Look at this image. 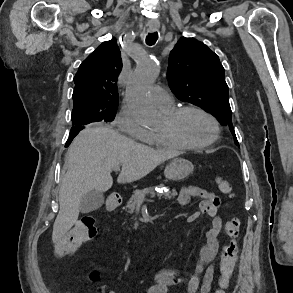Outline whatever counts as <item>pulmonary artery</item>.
Returning a JSON list of instances; mask_svg holds the SVG:
<instances>
[{"label": "pulmonary artery", "instance_id": "1", "mask_svg": "<svg viewBox=\"0 0 293 293\" xmlns=\"http://www.w3.org/2000/svg\"><path fill=\"white\" fill-rule=\"evenodd\" d=\"M150 99L159 108L168 110L173 107V96L161 86H154L150 91Z\"/></svg>", "mask_w": 293, "mask_h": 293}]
</instances>
